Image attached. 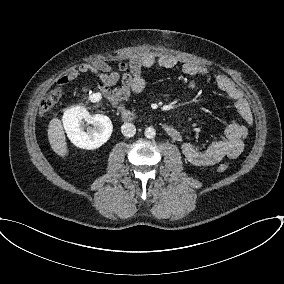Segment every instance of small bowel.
Returning <instances> with one entry per match:
<instances>
[{
    "label": "small bowel",
    "mask_w": 284,
    "mask_h": 284,
    "mask_svg": "<svg viewBox=\"0 0 284 284\" xmlns=\"http://www.w3.org/2000/svg\"><path fill=\"white\" fill-rule=\"evenodd\" d=\"M178 59L170 54L145 53L133 56L130 59V72L122 77L112 69L110 65L101 61L85 63L68 71L58 80L59 85H65L75 79L80 73L91 71L95 73L99 82L97 88L102 96L112 105H119L121 101L140 93L145 88L143 72L145 69L159 66L164 69H172L178 66ZM182 72L188 76H207L206 68L193 62H185L181 66ZM121 81L120 87H114ZM215 86L225 93L234 103V108L239 116V121H232L224 131L221 140L213 141L202 148L196 147L190 142L181 145L185 159L195 165L208 166L216 164L223 158H236L244 149V141L248 135V128L252 123V113L248 103L243 98L240 90L230 78L219 74L213 77ZM182 141V135L174 138Z\"/></svg>",
    "instance_id": "c3829d8e"
}]
</instances>
